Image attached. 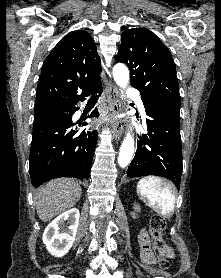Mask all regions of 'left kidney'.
<instances>
[{
  "mask_svg": "<svg viewBox=\"0 0 221 278\" xmlns=\"http://www.w3.org/2000/svg\"><path fill=\"white\" fill-rule=\"evenodd\" d=\"M134 210L139 212L140 211V207L139 205H137L136 203H134V206H133Z\"/></svg>",
  "mask_w": 221,
  "mask_h": 278,
  "instance_id": "left-kidney-1",
  "label": "left kidney"
}]
</instances>
